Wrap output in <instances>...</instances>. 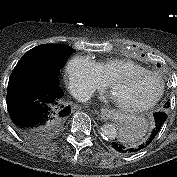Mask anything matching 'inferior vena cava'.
I'll use <instances>...</instances> for the list:
<instances>
[{"instance_id": "inferior-vena-cava-1", "label": "inferior vena cava", "mask_w": 177, "mask_h": 177, "mask_svg": "<svg viewBox=\"0 0 177 177\" xmlns=\"http://www.w3.org/2000/svg\"><path fill=\"white\" fill-rule=\"evenodd\" d=\"M92 97L91 91H79L75 93V98L80 102H86Z\"/></svg>"}]
</instances>
